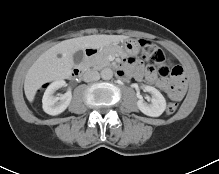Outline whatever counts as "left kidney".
<instances>
[{
	"instance_id": "1",
	"label": "left kidney",
	"mask_w": 219,
	"mask_h": 174,
	"mask_svg": "<svg viewBox=\"0 0 219 174\" xmlns=\"http://www.w3.org/2000/svg\"><path fill=\"white\" fill-rule=\"evenodd\" d=\"M144 91L151 94V103L143 99L137 101L138 109L147 116L159 117L166 109V100L163 95L154 87L144 85Z\"/></svg>"
}]
</instances>
